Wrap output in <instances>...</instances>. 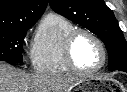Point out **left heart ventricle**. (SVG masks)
Masks as SVG:
<instances>
[{
    "instance_id": "left-heart-ventricle-1",
    "label": "left heart ventricle",
    "mask_w": 127,
    "mask_h": 92,
    "mask_svg": "<svg viewBox=\"0 0 127 92\" xmlns=\"http://www.w3.org/2000/svg\"><path fill=\"white\" fill-rule=\"evenodd\" d=\"M73 57L76 65L81 69H93L102 60L98 45L85 34H81L76 38L73 46Z\"/></svg>"
}]
</instances>
